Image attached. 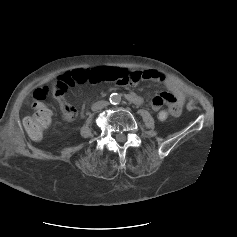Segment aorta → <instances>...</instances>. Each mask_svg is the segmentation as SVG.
Instances as JSON below:
<instances>
[{"instance_id":"762f6f07","label":"aorta","mask_w":237,"mask_h":237,"mask_svg":"<svg viewBox=\"0 0 237 237\" xmlns=\"http://www.w3.org/2000/svg\"><path fill=\"white\" fill-rule=\"evenodd\" d=\"M109 100L112 104H119L121 101V96L118 93H112Z\"/></svg>"}]
</instances>
